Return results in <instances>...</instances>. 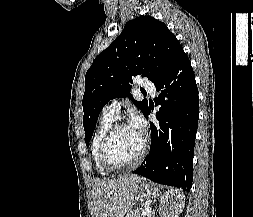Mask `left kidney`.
Masks as SVG:
<instances>
[{"label":"left kidney","instance_id":"obj_1","mask_svg":"<svg viewBox=\"0 0 253 217\" xmlns=\"http://www.w3.org/2000/svg\"><path fill=\"white\" fill-rule=\"evenodd\" d=\"M185 196L179 190H170L161 199L159 211L161 217H178L182 211Z\"/></svg>","mask_w":253,"mask_h":217}]
</instances>
